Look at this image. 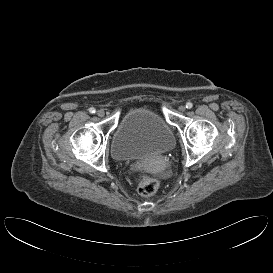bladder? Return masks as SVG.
I'll list each match as a JSON object with an SVG mask.
<instances>
[{
	"label": "bladder",
	"mask_w": 273,
	"mask_h": 273,
	"mask_svg": "<svg viewBox=\"0 0 273 273\" xmlns=\"http://www.w3.org/2000/svg\"><path fill=\"white\" fill-rule=\"evenodd\" d=\"M175 144L173 131L157 113L135 108L121 118L110 140V152L116 161H141L169 153Z\"/></svg>",
	"instance_id": "1"
}]
</instances>
